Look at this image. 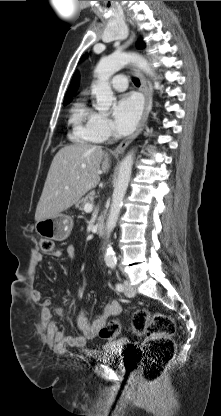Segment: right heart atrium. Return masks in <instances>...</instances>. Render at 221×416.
Masks as SVG:
<instances>
[{
  "label": "right heart atrium",
  "mask_w": 221,
  "mask_h": 416,
  "mask_svg": "<svg viewBox=\"0 0 221 416\" xmlns=\"http://www.w3.org/2000/svg\"><path fill=\"white\" fill-rule=\"evenodd\" d=\"M89 127L100 141L107 140L115 135L112 121L99 112L92 111Z\"/></svg>",
  "instance_id": "d8ad5b80"
}]
</instances>
